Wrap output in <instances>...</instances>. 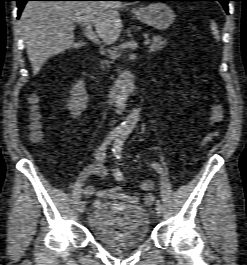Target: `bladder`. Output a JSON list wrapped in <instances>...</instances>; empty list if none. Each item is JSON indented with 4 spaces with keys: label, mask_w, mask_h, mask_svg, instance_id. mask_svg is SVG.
<instances>
[{
    "label": "bladder",
    "mask_w": 247,
    "mask_h": 265,
    "mask_svg": "<svg viewBox=\"0 0 247 265\" xmlns=\"http://www.w3.org/2000/svg\"><path fill=\"white\" fill-rule=\"evenodd\" d=\"M88 227L98 242L112 248H128L147 239L149 219L138 205L104 202L90 212Z\"/></svg>",
    "instance_id": "31cf9c89"
}]
</instances>
